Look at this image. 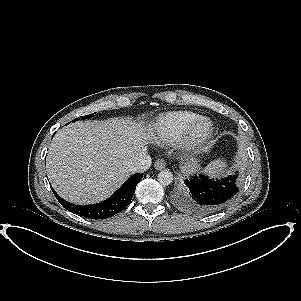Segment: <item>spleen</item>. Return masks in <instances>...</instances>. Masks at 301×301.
Wrapping results in <instances>:
<instances>
[{
	"label": "spleen",
	"instance_id": "obj_1",
	"mask_svg": "<svg viewBox=\"0 0 301 301\" xmlns=\"http://www.w3.org/2000/svg\"><path fill=\"white\" fill-rule=\"evenodd\" d=\"M226 167V163L223 159H216L210 164L206 166L204 169L205 173H207L211 177H215L216 175H219L224 172V169Z\"/></svg>",
	"mask_w": 301,
	"mask_h": 301
}]
</instances>
